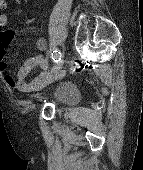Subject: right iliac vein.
<instances>
[{"mask_svg": "<svg viewBox=\"0 0 143 170\" xmlns=\"http://www.w3.org/2000/svg\"><path fill=\"white\" fill-rule=\"evenodd\" d=\"M63 64L64 60H61L54 65L53 69L47 75L46 84H50L62 77L61 69Z\"/></svg>", "mask_w": 143, "mask_h": 170, "instance_id": "1", "label": "right iliac vein"}]
</instances>
